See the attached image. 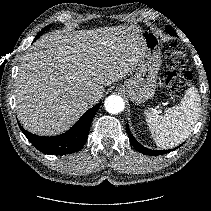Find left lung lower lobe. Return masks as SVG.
Masks as SVG:
<instances>
[{
  "label": "left lung lower lobe",
  "instance_id": "0a47b994",
  "mask_svg": "<svg viewBox=\"0 0 211 211\" xmlns=\"http://www.w3.org/2000/svg\"><path fill=\"white\" fill-rule=\"evenodd\" d=\"M127 134L129 136V141L131 142L132 146L137 150L139 151L140 153L142 154H146V155H161V154H166V153H169L171 152L172 150H162V151H158V150H151V149H148L144 146H142L140 143H138L135 138L132 136L131 132H130V129H129V126L127 124ZM178 148V147H177ZM175 148V149H177ZM174 149V150H175Z\"/></svg>",
  "mask_w": 211,
  "mask_h": 211
}]
</instances>
